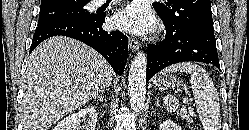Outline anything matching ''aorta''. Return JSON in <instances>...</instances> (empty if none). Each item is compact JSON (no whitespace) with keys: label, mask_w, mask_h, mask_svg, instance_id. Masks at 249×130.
I'll list each match as a JSON object with an SVG mask.
<instances>
[{"label":"aorta","mask_w":249,"mask_h":130,"mask_svg":"<svg viewBox=\"0 0 249 130\" xmlns=\"http://www.w3.org/2000/svg\"><path fill=\"white\" fill-rule=\"evenodd\" d=\"M147 56L143 51L133 58L128 76V94L131 109L135 113L143 110L146 95Z\"/></svg>","instance_id":"aorta-1"}]
</instances>
